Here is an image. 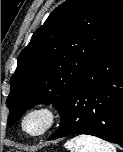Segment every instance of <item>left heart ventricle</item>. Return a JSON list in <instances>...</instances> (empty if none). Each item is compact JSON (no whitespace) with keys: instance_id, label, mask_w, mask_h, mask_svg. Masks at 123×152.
<instances>
[{"instance_id":"b2bd125f","label":"left heart ventricle","mask_w":123,"mask_h":152,"mask_svg":"<svg viewBox=\"0 0 123 152\" xmlns=\"http://www.w3.org/2000/svg\"><path fill=\"white\" fill-rule=\"evenodd\" d=\"M46 123V117L43 114L32 115L26 123V127L30 132H37L41 130Z\"/></svg>"}]
</instances>
